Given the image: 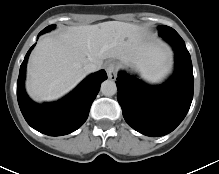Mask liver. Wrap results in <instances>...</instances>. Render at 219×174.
<instances>
[{
    "label": "liver",
    "instance_id": "1",
    "mask_svg": "<svg viewBox=\"0 0 219 174\" xmlns=\"http://www.w3.org/2000/svg\"><path fill=\"white\" fill-rule=\"evenodd\" d=\"M165 55L161 46L146 43L134 24L108 21L69 27L37 43L28 62L26 89L33 99L50 101L73 89L85 77L88 63L100 68L104 59L114 58L146 70L164 61Z\"/></svg>",
    "mask_w": 219,
    "mask_h": 174
}]
</instances>
